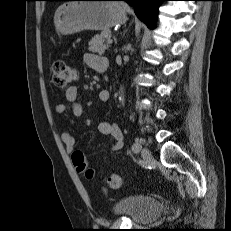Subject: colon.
<instances>
[{"label": "colon", "mask_w": 231, "mask_h": 231, "mask_svg": "<svg viewBox=\"0 0 231 231\" xmlns=\"http://www.w3.org/2000/svg\"><path fill=\"white\" fill-rule=\"evenodd\" d=\"M52 74L55 86L62 90L70 88L78 80L79 76L78 70L64 61L53 63ZM72 159L78 171L85 172L88 178L95 176L94 170L88 167L86 157L82 152H75ZM106 183L111 188H119L122 186L123 179L118 174H110L106 177Z\"/></svg>", "instance_id": "obj_1"}]
</instances>
